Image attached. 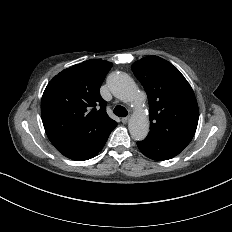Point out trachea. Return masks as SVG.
<instances>
[{
	"label": "trachea",
	"mask_w": 232,
	"mask_h": 232,
	"mask_svg": "<svg viewBox=\"0 0 232 232\" xmlns=\"http://www.w3.org/2000/svg\"><path fill=\"white\" fill-rule=\"evenodd\" d=\"M114 114L117 115L118 117H125L127 116L128 112L126 110L125 107L121 106V105H117L114 110H113Z\"/></svg>",
	"instance_id": "trachea-1"
}]
</instances>
